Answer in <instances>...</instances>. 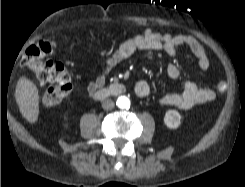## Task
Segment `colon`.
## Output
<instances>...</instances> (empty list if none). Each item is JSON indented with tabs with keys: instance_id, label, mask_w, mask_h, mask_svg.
Returning a JSON list of instances; mask_svg holds the SVG:
<instances>
[{
	"instance_id": "5ec220e1",
	"label": "colon",
	"mask_w": 245,
	"mask_h": 187,
	"mask_svg": "<svg viewBox=\"0 0 245 187\" xmlns=\"http://www.w3.org/2000/svg\"><path fill=\"white\" fill-rule=\"evenodd\" d=\"M55 48V42L51 40H39L27 47L22 58L23 68L34 73L41 84H51L42 95V103L45 106H54L65 100L73 88L71 71L62 63L46 59ZM216 90L224 94L227 84L223 81L217 83Z\"/></svg>"
}]
</instances>
